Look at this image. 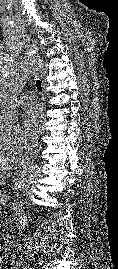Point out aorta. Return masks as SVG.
<instances>
[{
	"instance_id": "762f6f07",
	"label": "aorta",
	"mask_w": 118,
	"mask_h": 269,
	"mask_svg": "<svg viewBox=\"0 0 118 269\" xmlns=\"http://www.w3.org/2000/svg\"><path fill=\"white\" fill-rule=\"evenodd\" d=\"M39 62L40 59L36 56L25 57L6 82L3 92L0 95V118L6 122L14 124L18 121L19 110L17 107V98L23 86L36 72ZM40 175L41 168L38 165L24 169L18 182L19 190L21 192L27 191Z\"/></svg>"
}]
</instances>
